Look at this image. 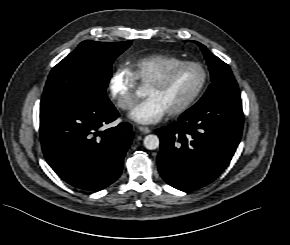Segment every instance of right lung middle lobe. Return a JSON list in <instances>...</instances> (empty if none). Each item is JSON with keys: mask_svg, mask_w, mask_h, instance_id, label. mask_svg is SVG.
<instances>
[{"mask_svg": "<svg viewBox=\"0 0 290 245\" xmlns=\"http://www.w3.org/2000/svg\"><path fill=\"white\" fill-rule=\"evenodd\" d=\"M131 43L81 42L51 70L44 88L40 112L83 103H110L106 88L112 76V63Z\"/></svg>", "mask_w": 290, "mask_h": 245, "instance_id": "right-lung-middle-lobe-1", "label": "right lung middle lobe"}]
</instances>
